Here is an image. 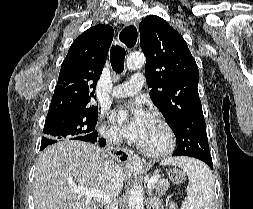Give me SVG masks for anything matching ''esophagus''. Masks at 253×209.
<instances>
[{"label":"esophagus","mask_w":253,"mask_h":209,"mask_svg":"<svg viewBox=\"0 0 253 209\" xmlns=\"http://www.w3.org/2000/svg\"><path fill=\"white\" fill-rule=\"evenodd\" d=\"M138 38L139 33L135 22H127L118 32L117 36L118 41L124 45L127 50H131L136 46ZM117 157L121 160V162L128 163L133 166L142 164L141 160L135 157L132 152L123 148H117Z\"/></svg>","instance_id":"34e87169"}]
</instances>
